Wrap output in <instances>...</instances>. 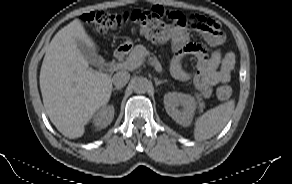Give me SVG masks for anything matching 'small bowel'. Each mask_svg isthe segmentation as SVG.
I'll return each instance as SVG.
<instances>
[{
    "mask_svg": "<svg viewBox=\"0 0 292 184\" xmlns=\"http://www.w3.org/2000/svg\"><path fill=\"white\" fill-rule=\"evenodd\" d=\"M194 18L197 21L195 28L211 47L217 48L223 44L225 35L216 20L204 16ZM171 49L173 51L170 64L171 73L181 80L192 77L195 87L204 97L211 95L212 88L216 84L228 82L235 68L236 56L233 52L223 53L217 48L208 56L203 46L188 41L186 33L181 34L171 43ZM187 57L195 59L193 73L184 68V60Z\"/></svg>",
    "mask_w": 292,
    "mask_h": 184,
    "instance_id": "1",
    "label": "small bowel"
}]
</instances>
